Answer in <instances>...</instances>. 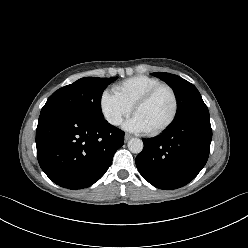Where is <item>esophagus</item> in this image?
Returning a JSON list of instances; mask_svg holds the SVG:
<instances>
[{"label": "esophagus", "mask_w": 248, "mask_h": 248, "mask_svg": "<svg viewBox=\"0 0 248 248\" xmlns=\"http://www.w3.org/2000/svg\"><path fill=\"white\" fill-rule=\"evenodd\" d=\"M125 141H128L129 139H131L132 138V136L130 135V134H125Z\"/></svg>", "instance_id": "obj_1"}]
</instances>
